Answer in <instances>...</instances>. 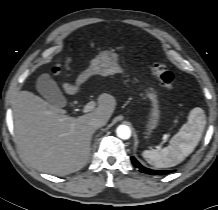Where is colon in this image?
Instances as JSON below:
<instances>
[{"mask_svg":"<svg viewBox=\"0 0 218 210\" xmlns=\"http://www.w3.org/2000/svg\"><path fill=\"white\" fill-rule=\"evenodd\" d=\"M68 65V62L63 64L65 70L68 69ZM151 70L158 79L160 86L166 91H171L173 88L174 76L165 65L160 62H155L152 64Z\"/></svg>","mask_w":218,"mask_h":210,"instance_id":"obj_1","label":"colon"}]
</instances>
